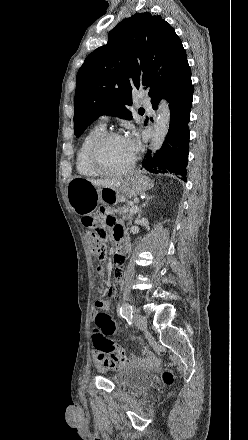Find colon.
Instances as JSON below:
<instances>
[{
  "label": "colon",
  "instance_id": "obj_1",
  "mask_svg": "<svg viewBox=\"0 0 248 440\" xmlns=\"http://www.w3.org/2000/svg\"><path fill=\"white\" fill-rule=\"evenodd\" d=\"M103 217L104 213L97 211L83 218L84 224L91 228L90 245L93 254L98 259H103L106 254V232L102 225ZM95 322L96 329L93 334V341L98 358L111 368L126 364L127 357L124 349L110 339L113 334L125 332L103 311L97 313ZM132 338L140 341L138 337L132 336ZM163 380L165 383L171 384L174 380L173 374L170 371H165Z\"/></svg>",
  "mask_w": 248,
  "mask_h": 440
}]
</instances>
